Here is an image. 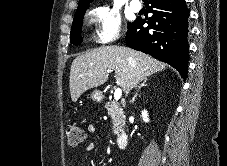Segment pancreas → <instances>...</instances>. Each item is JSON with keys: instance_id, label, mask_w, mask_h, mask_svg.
Returning a JSON list of instances; mask_svg holds the SVG:
<instances>
[{"instance_id": "pancreas-1", "label": "pancreas", "mask_w": 227, "mask_h": 166, "mask_svg": "<svg viewBox=\"0 0 227 166\" xmlns=\"http://www.w3.org/2000/svg\"><path fill=\"white\" fill-rule=\"evenodd\" d=\"M105 108L112 117L113 132L118 135L121 128L125 125V115L123 109L116 102H107Z\"/></svg>"}]
</instances>
